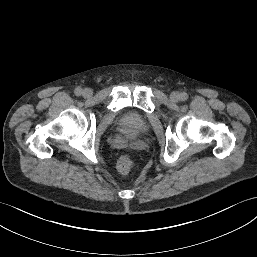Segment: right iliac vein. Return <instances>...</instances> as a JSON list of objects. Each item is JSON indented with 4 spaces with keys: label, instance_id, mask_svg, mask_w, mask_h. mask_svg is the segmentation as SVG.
Wrapping results in <instances>:
<instances>
[{
    "label": "right iliac vein",
    "instance_id": "63e3f726",
    "mask_svg": "<svg viewBox=\"0 0 257 257\" xmlns=\"http://www.w3.org/2000/svg\"><path fill=\"white\" fill-rule=\"evenodd\" d=\"M83 96L89 98L92 96L93 92L90 88H85L82 92Z\"/></svg>",
    "mask_w": 257,
    "mask_h": 257
}]
</instances>
